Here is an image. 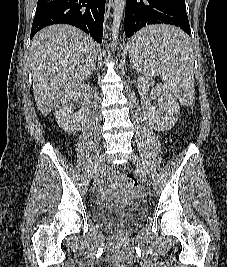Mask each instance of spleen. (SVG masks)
<instances>
[{
  "mask_svg": "<svg viewBox=\"0 0 227 267\" xmlns=\"http://www.w3.org/2000/svg\"><path fill=\"white\" fill-rule=\"evenodd\" d=\"M134 36L128 46L129 63H135L141 77H162L171 93L183 104H191L194 98V53L189 37L163 22L146 27Z\"/></svg>",
  "mask_w": 227,
  "mask_h": 267,
  "instance_id": "1",
  "label": "spleen"
}]
</instances>
